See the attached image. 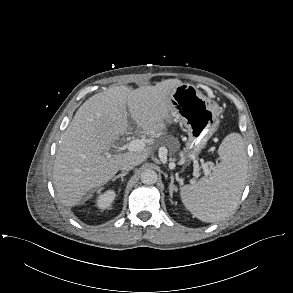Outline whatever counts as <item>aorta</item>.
I'll list each match as a JSON object with an SVG mask.
<instances>
[{"mask_svg":"<svg viewBox=\"0 0 293 293\" xmlns=\"http://www.w3.org/2000/svg\"><path fill=\"white\" fill-rule=\"evenodd\" d=\"M158 175L154 170L147 169L141 174V182L146 185H152L157 182Z\"/></svg>","mask_w":293,"mask_h":293,"instance_id":"aorta-1","label":"aorta"}]
</instances>
